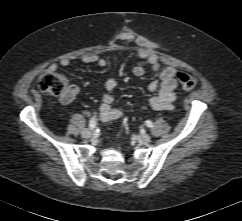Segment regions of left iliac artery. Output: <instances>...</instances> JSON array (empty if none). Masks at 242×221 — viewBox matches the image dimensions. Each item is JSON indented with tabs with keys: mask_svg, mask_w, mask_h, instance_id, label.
Masks as SVG:
<instances>
[{
	"mask_svg": "<svg viewBox=\"0 0 242 221\" xmlns=\"http://www.w3.org/2000/svg\"><path fill=\"white\" fill-rule=\"evenodd\" d=\"M145 124H146L147 127H152L153 126V123L150 120H147L145 122Z\"/></svg>",
	"mask_w": 242,
	"mask_h": 221,
	"instance_id": "1",
	"label": "left iliac artery"
}]
</instances>
